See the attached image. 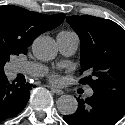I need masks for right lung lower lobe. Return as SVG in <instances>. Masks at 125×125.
<instances>
[{
	"label": "right lung lower lobe",
	"instance_id": "98d812e1",
	"mask_svg": "<svg viewBox=\"0 0 125 125\" xmlns=\"http://www.w3.org/2000/svg\"><path fill=\"white\" fill-rule=\"evenodd\" d=\"M31 84L10 83L5 74H0V121L19 114L26 106Z\"/></svg>",
	"mask_w": 125,
	"mask_h": 125
}]
</instances>
